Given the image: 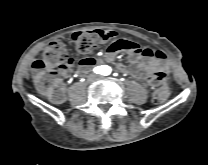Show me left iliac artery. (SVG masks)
<instances>
[{"instance_id":"1","label":"left iliac artery","mask_w":208,"mask_h":165,"mask_svg":"<svg viewBox=\"0 0 208 165\" xmlns=\"http://www.w3.org/2000/svg\"><path fill=\"white\" fill-rule=\"evenodd\" d=\"M110 73V68L109 67H105L103 75H108Z\"/></svg>"}]
</instances>
